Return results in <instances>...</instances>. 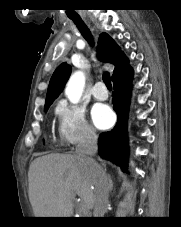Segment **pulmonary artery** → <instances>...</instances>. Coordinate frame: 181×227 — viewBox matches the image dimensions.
<instances>
[{
  "mask_svg": "<svg viewBox=\"0 0 181 227\" xmlns=\"http://www.w3.org/2000/svg\"><path fill=\"white\" fill-rule=\"evenodd\" d=\"M91 93L96 100L104 101L108 98V92L103 82H97L93 86Z\"/></svg>",
  "mask_w": 181,
  "mask_h": 227,
  "instance_id": "1",
  "label": "pulmonary artery"
}]
</instances>
